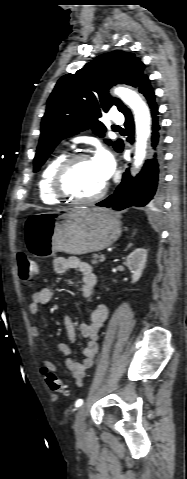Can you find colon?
<instances>
[{
	"mask_svg": "<svg viewBox=\"0 0 187 479\" xmlns=\"http://www.w3.org/2000/svg\"><path fill=\"white\" fill-rule=\"evenodd\" d=\"M17 265L19 277L23 282H30L38 273L37 263L25 253H19L17 256ZM47 385L54 393L69 395L68 386L58 378L54 373L47 372L44 376Z\"/></svg>",
	"mask_w": 187,
	"mask_h": 479,
	"instance_id": "colon-1",
	"label": "colon"
}]
</instances>
